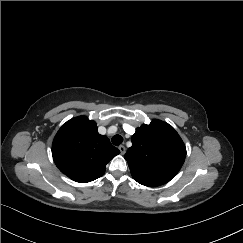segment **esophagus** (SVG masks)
I'll return each mask as SVG.
<instances>
[{"mask_svg": "<svg viewBox=\"0 0 243 243\" xmlns=\"http://www.w3.org/2000/svg\"><path fill=\"white\" fill-rule=\"evenodd\" d=\"M118 148H119L120 153H121L122 155L125 154V152H126V148H125L124 145H120Z\"/></svg>", "mask_w": 243, "mask_h": 243, "instance_id": "34e87169", "label": "esophagus"}]
</instances>
